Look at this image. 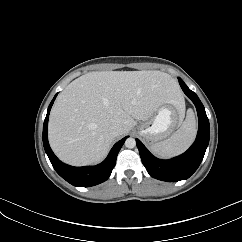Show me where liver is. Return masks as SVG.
<instances>
[{
	"label": "liver",
	"instance_id": "1",
	"mask_svg": "<svg viewBox=\"0 0 242 242\" xmlns=\"http://www.w3.org/2000/svg\"><path fill=\"white\" fill-rule=\"evenodd\" d=\"M185 110L177 82L161 71L89 72L60 93L50 113L48 136L55 154L71 165L103 160L115 139L162 105ZM122 132L113 136L109 128Z\"/></svg>",
	"mask_w": 242,
	"mask_h": 242
}]
</instances>
